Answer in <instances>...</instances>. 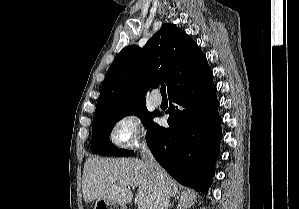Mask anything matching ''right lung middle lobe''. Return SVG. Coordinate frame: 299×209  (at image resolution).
<instances>
[{
    "instance_id": "dd1d6c3e",
    "label": "right lung middle lobe",
    "mask_w": 299,
    "mask_h": 209,
    "mask_svg": "<svg viewBox=\"0 0 299 209\" xmlns=\"http://www.w3.org/2000/svg\"><path fill=\"white\" fill-rule=\"evenodd\" d=\"M135 114L140 117L142 122L150 126L155 113L147 111L145 104H138L130 107L117 109L114 111L95 115L92 123V153L105 156H130L132 151L117 149L109 140V134L122 117Z\"/></svg>"
}]
</instances>
